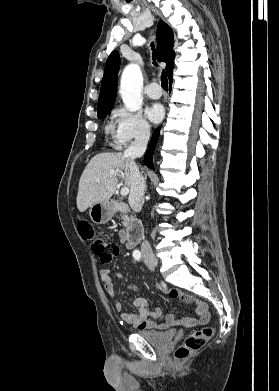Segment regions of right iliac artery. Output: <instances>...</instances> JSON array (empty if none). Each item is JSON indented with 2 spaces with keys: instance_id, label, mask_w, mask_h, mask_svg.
<instances>
[{
  "instance_id": "obj_1",
  "label": "right iliac artery",
  "mask_w": 279,
  "mask_h": 391,
  "mask_svg": "<svg viewBox=\"0 0 279 391\" xmlns=\"http://www.w3.org/2000/svg\"><path fill=\"white\" fill-rule=\"evenodd\" d=\"M133 257L135 260L139 261L141 259V252L139 250H134Z\"/></svg>"
}]
</instances>
